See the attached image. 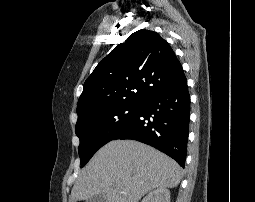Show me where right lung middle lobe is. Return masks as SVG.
<instances>
[{
	"mask_svg": "<svg viewBox=\"0 0 255 202\" xmlns=\"http://www.w3.org/2000/svg\"><path fill=\"white\" fill-rule=\"evenodd\" d=\"M141 104H117L95 110L78 119L75 132L80 139L81 167L110 142L132 120Z\"/></svg>",
	"mask_w": 255,
	"mask_h": 202,
	"instance_id": "dd1d6c3e",
	"label": "right lung middle lobe"
}]
</instances>
